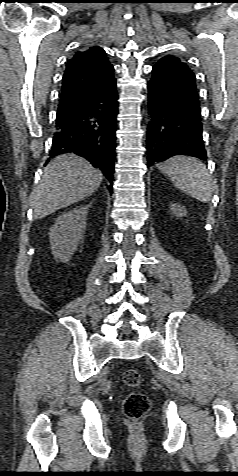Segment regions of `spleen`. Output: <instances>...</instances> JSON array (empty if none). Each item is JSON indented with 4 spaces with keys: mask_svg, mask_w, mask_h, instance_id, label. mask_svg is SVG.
I'll list each match as a JSON object with an SVG mask.
<instances>
[{
    "mask_svg": "<svg viewBox=\"0 0 238 476\" xmlns=\"http://www.w3.org/2000/svg\"><path fill=\"white\" fill-rule=\"evenodd\" d=\"M158 168L182 192L204 203L211 200V178L202 162L189 156H175L159 164Z\"/></svg>",
    "mask_w": 238,
    "mask_h": 476,
    "instance_id": "1",
    "label": "spleen"
}]
</instances>
